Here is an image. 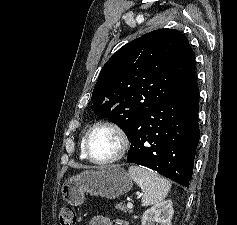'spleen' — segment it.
Here are the masks:
<instances>
[{"instance_id":"1","label":"spleen","mask_w":237,"mask_h":225,"mask_svg":"<svg viewBox=\"0 0 237 225\" xmlns=\"http://www.w3.org/2000/svg\"><path fill=\"white\" fill-rule=\"evenodd\" d=\"M130 177L143 190L142 203L150 206L163 201L168 195L171 183L152 170L132 165L128 169Z\"/></svg>"}]
</instances>
